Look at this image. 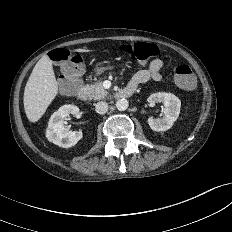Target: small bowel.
<instances>
[{"mask_svg":"<svg viewBox=\"0 0 232 232\" xmlns=\"http://www.w3.org/2000/svg\"><path fill=\"white\" fill-rule=\"evenodd\" d=\"M163 68V61L161 59H154L150 62L147 69L139 70L134 74L128 86L134 90L138 85L148 82L149 80L161 81L163 76L161 70Z\"/></svg>","mask_w":232,"mask_h":232,"instance_id":"1","label":"small bowel"}]
</instances>
